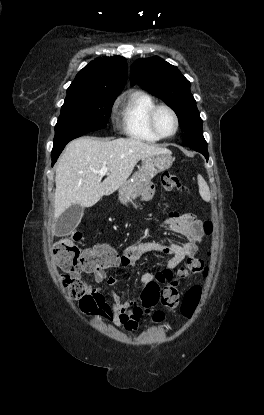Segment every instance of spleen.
Returning a JSON list of instances; mask_svg holds the SVG:
<instances>
[{
    "label": "spleen",
    "instance_id": "spleen-1",
    "mask_svg": "<svg viewBox=\"0 0 264 415\" xmlns=\"http://www.w3.org/2000/svg\"><path fill=\"white\" fill-rule=\"evenodd\" d=\"M198 186H199V193L202 199L206 202L210 201L211 195L210 190L207 182L204 180V178L201 175H198Z\"/></svg>",
    "mask_w": 264,
    "mask_h": 415
}]
</instances>
